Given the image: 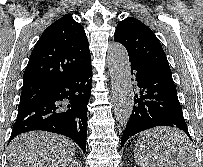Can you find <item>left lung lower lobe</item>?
I'll use <instances>...</instances> for the list:
<instances>
[{"label": "left lung lower lobe", "mask_w": 203, "mask_h": 167, "mask_svg": "<svg viewBox=\"0 0 203 167\" xmlns=\"http://www.w3.org/2000/svg\"><path fill=\"white\" fill-rule=\"evenodd\" d=\"M130 62L132 80L136 82L139 92L134 93V107L121 138V148L134 134L156 126L177 127L192 141L172 76L162 74L138 60ZM173 146L181 154L187 152L183 144ZM189 152H192L190 146Z\"/></svg>", "instance_id": "left-lung-lower-lobe-1"}]
</instances>
